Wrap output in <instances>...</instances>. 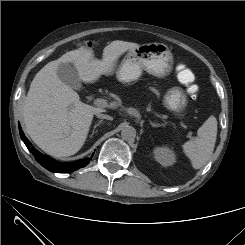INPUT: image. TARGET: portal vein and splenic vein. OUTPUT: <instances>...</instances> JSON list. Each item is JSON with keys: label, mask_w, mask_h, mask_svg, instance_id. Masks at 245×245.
<instances>
[{"label": "portal vein and splenic vein", "mask_w": 245, "mask_h": 245, "mask_svg": "<svg viewBox=\"0 0 245 245\" xmlns=\"http://www.w3.org/2000/svg\"><path fill=\"white\" fill-rule=\"evenodd\" d=\"M94 103H95V105H97L98 107H101V108H105L108 106L107 101L104 99H100V98L95 99Z\"/></svg>", "instance_id": "portal-vein-and-splenic-vein-1"}]
</instances>
